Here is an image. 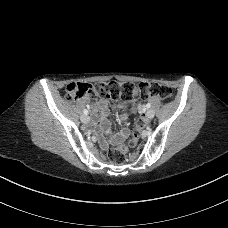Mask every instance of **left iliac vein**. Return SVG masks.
I'll list each match as a JSON object with an SVG mask.
<instances>
[{
  "label": "left iliac vein",
  "mask_w": 228,
  "mask_h": 228,
  "mask_svg": "<svg viewBox=\"0 0 228 228\" xmlns=\"http://www.w3.org/2000/svg\"><path fill=\"white\" fill-rule=\"evenodd\" d=\"M146 117L148 119H152L154 117V111L153 110H148L146 113Z\"/></svg>",
  "instance_id": "1"
}]
</instances>
